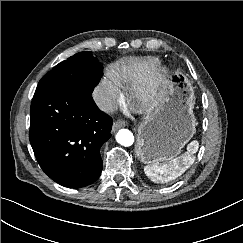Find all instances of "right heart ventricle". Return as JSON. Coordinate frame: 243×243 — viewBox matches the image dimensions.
<instances>
[{"mask_svg": "<svg viewBox=\"0 0 243 243\" xmlns=\"http://www.w3.org/2000/svg\"><path fill=\"white\" fill-rule=\"evenodd\" d=\"M157 64L154 57L129 58L112 64L108 76L119 88L128 89L144 79Z\"/></svg>", "mask_w": 243, "mask_h": 243, "instance_id": "e07e8e85", "label": "right heart ventricle"}]
</instances>
